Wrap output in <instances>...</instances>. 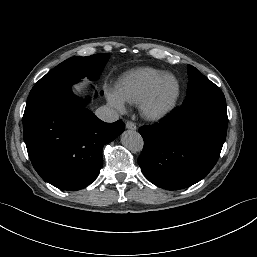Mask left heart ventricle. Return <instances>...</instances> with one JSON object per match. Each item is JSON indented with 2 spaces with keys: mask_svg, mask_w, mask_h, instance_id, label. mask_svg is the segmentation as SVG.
<instances>
[{
  "mask_svg": "<svg viewBox=\"0 0 257 257\" xmlns=\"http://www.w3.org/2000/svg\"><path fill=\"white\" fill-rule=\"evenodd\" d=\"M177 90L176 81L173 78L166 79L157 94V97L153 104L154 110H160L164 108L173 98Z\"/></svg>",
  "mask_w": 257,
  "mask_h": 257,
  "instance_id": "b2bd125f",
  "label": "left heart ventricle"
}]
</instances>
